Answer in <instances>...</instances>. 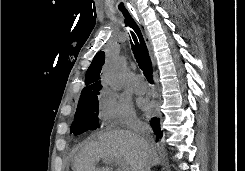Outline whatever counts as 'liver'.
<instances>
[{
	"label": "liver",
	"instance_id": "obj_1",
	"mask_svg": "<svg viewBox=\"0 0 245 171\" xmlns=\"http://www.w3.org/2000/svg\"><path fill=\"white\" fill-rule=\"evenodd\" d=\"M124 160L131 171H141L145 162L160 164L152 145L145 148L141 137L126 130H113L97 135V140L83 146L74 158V171H112L111 168H97L99 160Z\"/></svg>",
	"mask_w": 245,
	"mask_h": 171
}]
</instances>
